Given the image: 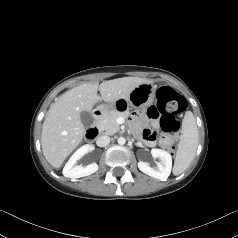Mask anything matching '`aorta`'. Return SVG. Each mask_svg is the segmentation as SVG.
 Listing matches in <instances>:
<instances>
[{"label": "aorta", "instance_id": "762f6f07", "mask_svg": "<svg viewBox=\"0 0 238 238\" xmlns=\"http://www.w3.org/2000/svg\"><path fill=\"white\" fill-rule=\"evenodd\" d=\"M117 142L119 145H124L126 143V139L124 137H119Z\"/></svg>", "mask_w": 238, "mask_h": 238}]
</instances>
